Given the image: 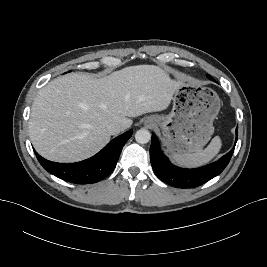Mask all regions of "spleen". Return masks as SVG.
Returning a JSON list of instances; mask_svg holds the SVG:
<instances>
[{
	"label": "spleen",
	"instance_id": "spleen-1",
	"mask_svg": "<svg viewBox=\"0 0 267 267\" xmlns=\"http://www.w3.org/2000/svg\"><path fill=\"white\" fill-rule=\"evenodd\" d=\"M221 146V139L216 136L204 150L196 153H176L173 155V159L185 167H198L211 161L218 154Z\"/></svg>",
	"mask_w": 267,
	"mask_h": 267
}]
</instances>
